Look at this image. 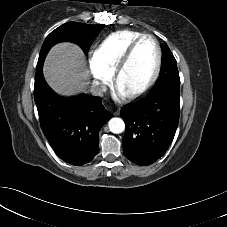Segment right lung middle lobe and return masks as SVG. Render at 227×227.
I'll list each match as a JSON object with an SVG mask.
<instances>
[{"mask_svg": "<svg viewBox=\"0 0 227 227\" xmlns=\"http://www.w3.org/2000/svg\"><path fill=\"white\" fill-rule=\"evenodd\" d=\"M104 26V24L88 25L78 22H69L61 25L52 31L45 39L39 54L37 66L41 67L43 65L48 51L58 42H74L87 54L95 37Z\"/></svg>", "mask_w": 227, "mask_h": 227, "instance_id": "dd1d6c3e", "label": "right lung middle lobe"}]
</instances>
